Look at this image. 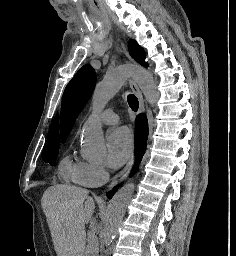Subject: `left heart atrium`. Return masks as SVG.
<instances>
[{"label": "left heart atrium", "mask_w": 236, "mask_h": 256, "mask_svg": "<svg viewBox=\"0 0 236 256\" xmlns=\"http://www.w3.org/2000/svg\"><path fill=\"white\" fill-rule=\"evenodd\" d=\"M107 161L112 168L121 167L133 150V136L126 127L113 131L107 140Z\"/></svg>", "instance_id": "obj_1"}]
</instances>
